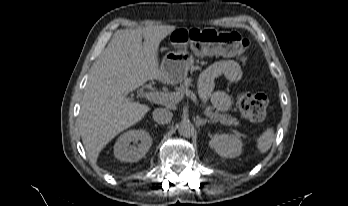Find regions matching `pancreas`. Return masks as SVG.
<instances>
[{
	"label": "pancreas",
	"mask_w": 348,
	"mask_h": 206,
	"mask_svg": "<svg viewBox=\"0 0 348 206\" xmlns=\"http://www.w3.org/2000/svg\"><path fill=\"white\" fill-rule=\"evenodd\" d=\"M192 78H186L182 84H180L179 87H176V92L184 93L190 86H192ZM205 114L213 121V122H220L224 125L228 126H238L239 121L237 118L232 117L228 114H220L218 111H214V108L212 106H208L205 109Z\"/></svg>",
	"instance_id": "1"
}]
</instances>
